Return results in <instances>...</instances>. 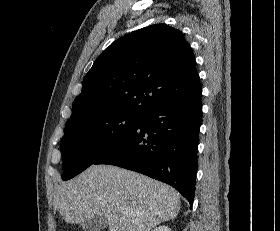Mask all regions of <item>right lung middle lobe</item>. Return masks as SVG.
<instances>
[{
	"mask_svg": "<svg viewBox=\"0 0 280 231\" xmlns=\"http://www.w3.org/2000/svg\"><path fill=\"white\" fill-rule=\"evenodd\" d=\"M141 115L115 114L98 118H74L65 125L60 143L63 180H69L108 153L140 122Z\"/></svg>",
	"mask_w": 280,
	"mask_h": 231,
	"instance_id": "1",
	"label": "right lung middle lobe"
}]
</instances>
